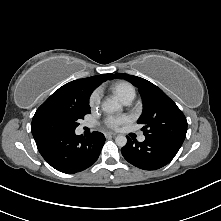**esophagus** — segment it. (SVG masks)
<instances>
[{
	"label": "esophagus",
	"instance_id": "esophagus-1",
	"mask_svg": "<svg viewBox=\"0 0 221 221\" xmlns=\"http://www.w3.org/2000/svg\"><path fill=\"white\" fill-rule=\"evenodd\" d=\"M117 134L116 133H113V132H106L105 133V136H116Z\"/></svg>",
	"mask_w": 221,
	"mask_h": 221
}]
</instances>
